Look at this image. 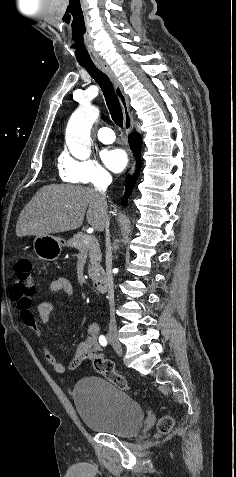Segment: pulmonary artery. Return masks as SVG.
<instances>
[{
	"label": "pulmonary artery",
	"instance_id": "e3ab8cb5",
	"mask_svg": "<svg viewBox=\"0 0 236 477\" xmlns=\"http://www.w3.org/2000/svg\"><path fill=\"white\" fill-rule=\"evenodd\" d=\"M97 137L101 142L105 144H110L115 140V134L113 130L107 127L99 128L97 130Z\"/></svg>",
	"mask_w": 236,
	"mask_h": 477
}]
</instances>
